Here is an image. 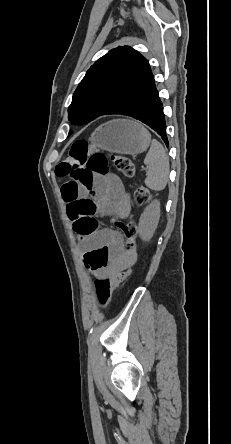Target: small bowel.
Instances as JSON below:
<instances>
[{"instance_id":"1","label":"small bowel","mask_w":231,"mask_h":444,"mask_svg":"<svg viewBox=\"0 0 231 444\" xmlns=\"http://www.w3.org/2000/svg\"><path fill=\"white\" fill-rule=\"evenodd\" d=\"M89 196L93 198L97 213L110 217L115 225L125 220L130 213L129 195L116 175L96 176L92 186L85 188L67 182L62 187V197L73 225L71 205L78 200L88 199ZM78 242L83 249L86 268L99 279L109 277L134 263L137 257L135 252L124 251L120 236L109 229L96 231L86 237L78 235Z\"/></svg>"}]
</instances>
